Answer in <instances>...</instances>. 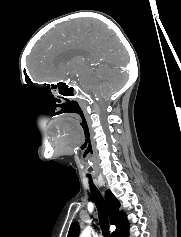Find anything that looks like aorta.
I'll return each instance as SVG.
<instances>
[{"label":"aorta","instance_id":"762f6f07","mask_svg":"<svg viewBox=\"0 0 181 237\" xmlns=\"http://www.w3.org/2000/svg\"><path fill=\"white\" fill-rule=\"evenodd\" d=\"M80 237H91V230L90 228H86L82 234L80 235Z\"/></svg>","mask_w":181,"mask_h":237}]
</instances>
